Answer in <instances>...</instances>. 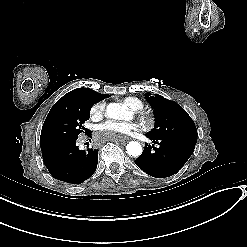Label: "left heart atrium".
I'll return each instance as SVG.
<instances>
[{
	"mask_svg": "<svg viewBox=\"0 0 247 247\" xmlns=\"http://www.w3.org/2000/svg\"><path fill=\"white\" fill-rule=\"evenodd\" d=\"M137 130V125L131 122L108 121L100 125L94 134V143L101 145L106 142H119L121 135H130Z\"/></svg>",
	"mask_w": 247,
	"mask_h": 247,
	"instance_id": "1",
	"label": "left heart atrium"
}]
</instances>
